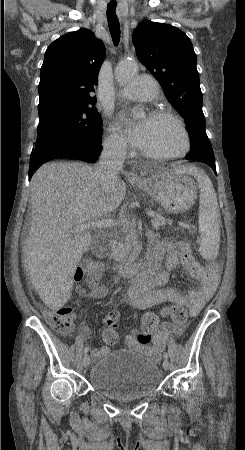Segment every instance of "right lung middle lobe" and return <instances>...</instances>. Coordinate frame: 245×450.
Masks as SVG:
<instances>
[{
    "label": "right lung middle lobe",
    "instance_id": "1",
    "mask_svg": "<svg viewBox=\"0 0 245 450\" xmlns=\"http://www.w3.org/2000/svg\"><path fill=\"white\" fill-rule=\"evenodd\" d=\"M37 142L32 154L100 144L101 115L94 106L56 103L38 109Z\"/></svg>",
    "mask_w": 245,
    "mask_h": 450
}]
</instances>
